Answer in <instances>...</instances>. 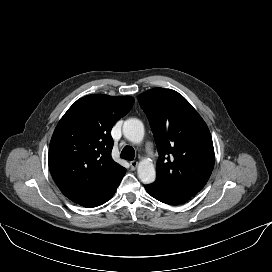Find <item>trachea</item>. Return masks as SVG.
<instances>
[{
    "label": "trachea",
    "mask_w": 272,
    "mask_h": 272,
    "mask_svg": "<svg viewBox=\"0 0 272 272\" xmlns=\"http://www.w3.org/2000/svg\"><path fill=\"white\" fill-rule=\"evenodd\" d=\"M120 156L125 160H133L135 157V150L130 146H126L121 151Z\"/></svg>",
    "instance_id": "1"
}]
</instances>
